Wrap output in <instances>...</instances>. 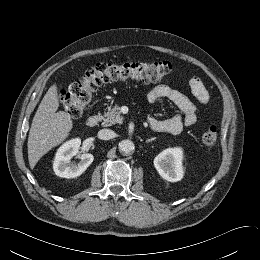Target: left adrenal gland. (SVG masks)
I'll use <instances>...</instances> for the list:
<instances>
[{"label":"left adrenal gland","mask_w":260,"mask_h":260,"mask_svg":"<svg viewBox=\"0 0 260 260\" xmlns=\"http://www.w3.org/2000/svg\"><path fill=\"white\" fill-rule=\"evenodd\" d=\"M155 139H156V137H153V138H151V139H147V140H146V143L152 142V141L155 140Z\"/></svg>","instance_id":"a2214340"}]
</instances>
